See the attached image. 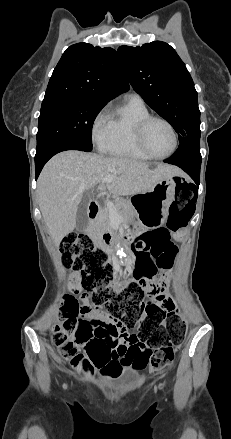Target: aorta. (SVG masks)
I'll return each mask as SVG.
<instances>
[{
  "label": "aorta",
  "mask_w": 231,
  "mask_h": 439,
  "mask_svg": "<svg viewBox=\"0 0 231 439\" xmlns=\"http://www.w3.org/2000/svg\"><path fill=\"white\" fill-rule=\"evenodd\" d=\"M115 248H116L117 255H119L120 257H123L124 252H123V249L121 248V246L119 244H117Z\"/></svg>",
  "instance_id": "aorta-1"
}]
</instances>
